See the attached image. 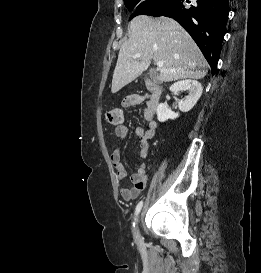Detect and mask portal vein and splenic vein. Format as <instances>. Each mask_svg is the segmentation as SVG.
Masks as SVG:
<instances>
[{
  "label": "portal vein and splenic vein",
  "mask_w": 261,
  "mask_h": 273,
  "mask_svg": "<svg viewBox=\"0 0 261 273\" xmlns=\"http://www.w3.org/2000/svg\"><path fill=\"white\" fill-rule=\"evenodd\" d=\"M141 57V54L140 53H137L133 56L134 59H137V58H140ZM157 66L159 69H161L163 67V62L162 61H158L157 62Z\"/></svg>",
  "instance_id": "18ae733b"
}]
</instances>
